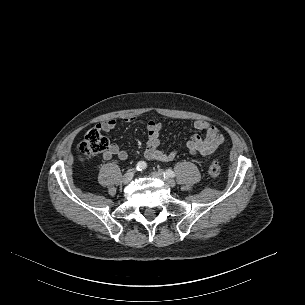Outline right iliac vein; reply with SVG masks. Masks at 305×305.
<instances>
[{
	"label": "right iliac vein",
	"mask_w": 305,
	"mask_h": 305,
	"mask_svg": "<svg viewBox=\"0 0 305 305\" xmlns=\"http://www.w3.org/2000/svg\"><path fill=\"white\" fill-rule=\"evenodd\" d=\"M133 177H134V171L130 170L124 174V176L122 177V182L124 184H127L133 179Z\"/></svg>",
	"instance_id": "right-iliac-vein-1"
}]
</instances>
